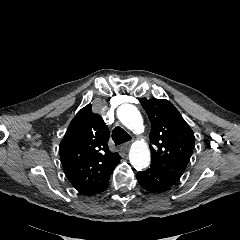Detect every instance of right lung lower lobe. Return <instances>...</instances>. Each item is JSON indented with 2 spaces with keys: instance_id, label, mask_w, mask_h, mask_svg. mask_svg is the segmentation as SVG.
<instances>
[{
  "instance_id": "right-lung-lower-lobe-1",
  "label": "right lung lower lobe",
  "mask_w": 240,
  "mask_h": 240,
  "mask_svg": "<svg viewBox=\"0 0 240 240\" xmlns=\"http://www.w3.org/2000/svg\"><path fill=\"white\" fill-rule=\"evenodd\" d=\"M108 181H109V180H108ZM107 186H108V182L105 183V184L96 192V194H99V193L103 192V191L107 188Z\"/></svg>"
}]
</instances>
